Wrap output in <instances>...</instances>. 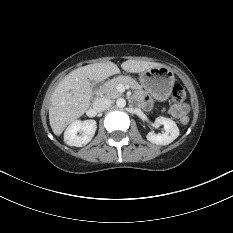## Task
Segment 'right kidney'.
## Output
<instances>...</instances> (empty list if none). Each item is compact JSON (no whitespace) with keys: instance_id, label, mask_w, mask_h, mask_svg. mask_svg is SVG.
<instances>
[{"instance_id":"obj_1","label":"right kidney","mask_w":233,"mask_h":233,"mask_svg":"<svg viewBox=\"0 0 233 233\" xmlns=\"http://www.w3.org/2000/svg\"><path fill=\"white\" fill-rule=\"evenodd\" d=\"M97 129L95 120H76L72 122L64 133V141L69 146L82 147L88 144ZM78 132L80 135H78Z\"/></svg>"}]
</instances>
